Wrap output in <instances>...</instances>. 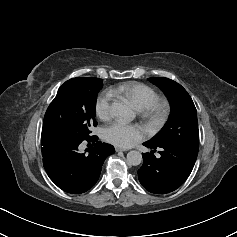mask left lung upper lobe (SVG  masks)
I'll return each instance as SVG.
<instances>
[{
  "label": "left lung upper lobe",
  "mask_w": 237,
  "mask_h": 237,
  "mask_svg": "<svg viewBox=\"0 0 237 237\" xmlns=\"http://www.w3.org/2000/svg\"><path fill=\"white\" fill-rule=\"evenodd\" d=\"M149 81L159 86L171 105V115L162 130L147 141L155 146L199 145L197 111L188 92L177 82L163 77Z\"/></svg>",
  "instance_id": "5c2ea615"
}]
</instances>
